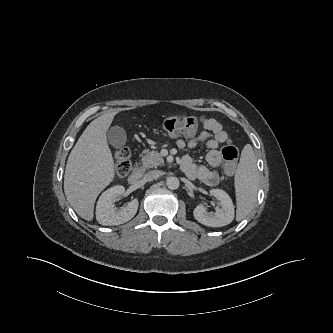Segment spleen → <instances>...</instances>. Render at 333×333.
<instances>
[{"label":"spleen","instance_id":"obj_1","mask_svg":"<svg viewBox=\"0 0 333 333\" xmlns=\"http://www.w3.org/2000/svg\"><path fill=\"white\" fill-rule=\"evenodd\" d=\"M236 219L241 221L253 209L258 192V170L253 148L244 146L235 174Z\"/></svg>","mask_w":333,"mask_h":333}]
</instances>
